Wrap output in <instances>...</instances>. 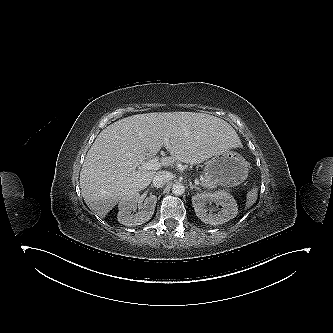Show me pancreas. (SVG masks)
Here are the masks:
<instances>
[{"label": "pancreas", "mask_w": 333, "mask_h": 333, "mask_svg": "<svg viewBox=\"0 0 333 333\" xmlns=\"http://www.w3.org/2000/svg\"><path fill=\"white\" fill-rule=\"evenodd\" d=\"M201 186H203L204 188H207V189H211V188H214L215 185L212 181H210L209 179H206L205 177L201 180Z\"/></svg>", "instance_id": "obj_1"}]
</instances>
